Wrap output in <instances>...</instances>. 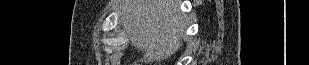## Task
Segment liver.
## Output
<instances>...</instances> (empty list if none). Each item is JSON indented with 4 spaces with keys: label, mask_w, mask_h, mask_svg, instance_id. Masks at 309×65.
Instances as JSON below:
<instances>
[{
    "label": "liver",
    "mask_w": 309,
    "mask_h": 65,
    "mask_svg": "<svg viewBox=\"0 0 309 65\" xmlns=\"http://www.w3.org/2000/svg\"><path fill=\"white\" fill-rule=\"evenodd\" d=\"M120 20L132 46L149 61L168 59L182 46L186 24L180 0H120Z\"/></svg>",
    "instance_id": "obj_1"
}]
</instances>
